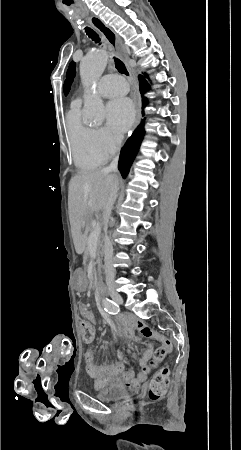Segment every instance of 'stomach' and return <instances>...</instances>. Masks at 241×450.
<instances>
[{"mask_svg": "<svg viewBox=\"0 0 241 450\" xmlns=\"http://www.w3.org/2000/svg\"><path fill=\"white\" fill-rule=\"evenodd\" d=\"M77 281H78L79 284L82 283V277L80 276V274H78V276H77Z\"/></svg>", "mask_w": 241, "mask_h": 450, "instance_id": "obj_1", "label": "stomach"}]
</instances>
